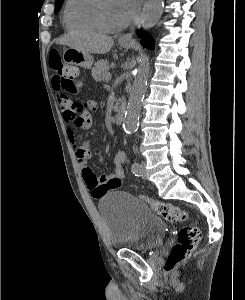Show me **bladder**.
<instances>
[{"label": "bladder", "instance_id": "bladder-1", "mask_svg": "<svg viewBox=\"0 0 245 300\" xmlns=\"http://www.w3.org/2000/svg\"><path fill=\"white\" fill-rule=\"evenodd\" d=\"M98 209L114 249L150 252L162 244L168 230L144 202L125 192L104 195Z\"/></svg>", "mask_w": 245, "mask_h": 300}]
</instances>
